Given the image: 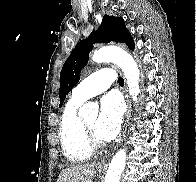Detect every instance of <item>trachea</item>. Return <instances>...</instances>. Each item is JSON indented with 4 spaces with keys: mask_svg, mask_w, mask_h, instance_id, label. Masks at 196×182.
Here are the masks:
<instances>
[{
    "mask_svg": "<svg viewBox=\"0 0 196 182\" xmlns=\"http://www.w3.org/2000/svg\"><path fill=\"white\" fill-rule=\"evenodd\" d=\"M118 83L123 86L124 85V79L122 77H119L118 78Z\"/></svg>",
    "mask_w": 196,
    "mask_h": 182,
    "instance_id": "trachea-1",
    "label": "trachea"
}]
</instances>
